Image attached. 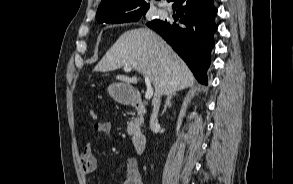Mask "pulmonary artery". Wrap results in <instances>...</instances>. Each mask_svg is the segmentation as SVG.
<instances>
[{"instance_id": "1", "label": "pulmonary artery", "mask_w": 293, "mask_h": 184, "mask_svg": "<svg viewBox=\"0 0 293 184\" xmlns=\"http://www.w3.org/2000/svg\"><path fill=\"white\" fill-rule=\"evenodd\" d=\"M159 13H160V14H164L165 12H164L163 10H160Z\"/></svg>"}]
</instances>
